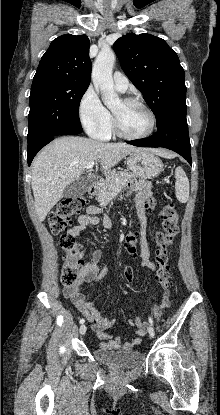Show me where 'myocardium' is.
<instances>
[{
	"mask_svg": "<svg viewBox=\"0 0 220 415\" xmlns=\"http://www.w3.org/2000/svg\"><path fill=\"white\" fill-rule=\"evenodd\" d=\"M122 103L126 104V105H138L140 107H142L149 115L150 117V127L148 129L147 132H145L144 134L141 135H130L125 133L121 126L120 123L118 121L117 116L115 115V113L113 112V129L114 132L121 138L127 139V140H142L145 138L150 137L155 128H156V116L155 113L153 112V110L142 100L138 99V98H132V97H128V98H124L121 100Z\"/></svg>",
	"mask_w": 220,
	"mask_h": 415,
	"instance_id": "myocardium-1",
	"label": "myocardium"
}]
</instances>
